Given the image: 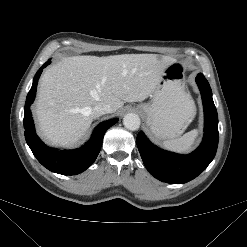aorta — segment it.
<instances>
[{
	"mask_svg": "<svg viewBox=\"0 0 247 247\" xmlns=\"http://www.w3.org/2000/svg\"><path fill=\"white\" fill-rule=\"evenodd\" d=\"M140 124H141L140 118L135 113H128L123 118V125L128 130L136 131L139 129Z\"/></svg>",
	"mask_w": 247,
	"mask_h": 247,
	"instance_id": "1",
	"label": "aorta"
}]
</instances>
